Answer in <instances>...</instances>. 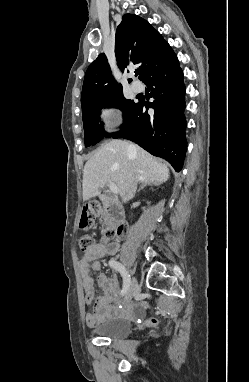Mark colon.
I'll return each mask as SVG.
<instances>
[{
    "label": "colon",
    "instance_id": "colon-1",
    "mask_svg": "<svg viewBox=\"0 0 249 382\" xmlns=\"http://www.w3.org/2000/svg\"><path fill=\"white\" fill-rule=\"evenodd\" d=\"M103 214V210L97 203H92L83 208L80 218V228L87 229L91 228L96 219L99 218ZM122 236V227H107L103 232V241L107 244H111L114 240L120 238ZM80 247L84 251H89L93 245L95 244L94 239L91 236L85 235L82 236L79 240ZM149 324H156V320L154 318L148 321Z\"/></svg>",
    "mask_w": 249,
    "mask_h": 382
}]
</instances>
